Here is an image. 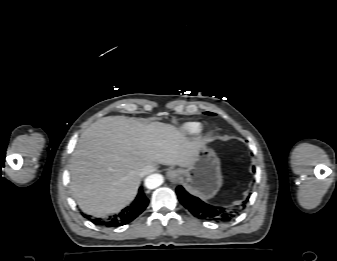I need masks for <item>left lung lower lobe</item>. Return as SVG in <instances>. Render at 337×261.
I'll return each instance as SVG.
<instances>
[{
  "instance_id": "obj_1",
  "label": "left lung lower lobe",
  "mask_w": 337,
  "mask_h": 261,
  "mask_svg": "<svg viewBox=\"0 0 337 261\" xmlns=\"http://www.w3.org/2000/svg\"><path fill=\"white\" fill-rule=\"evenodd\" d=\"M254 171V169H253ZM176 193L181 204L198 219L215 222H226L235 218L246 207L249 197L240 205L233 208L211 206L199 198L189 194L182 186L176 188Z\"/></svg>"
}]
</instances>
